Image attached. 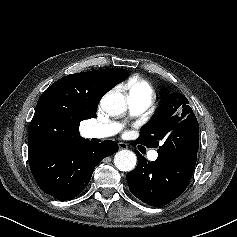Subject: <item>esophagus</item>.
<instances>
[{
	"label": "esophagus",
	"mask_w": 237,
	"mask_h": 237,
	"mask_svg": "<svg viewBox=\"0 0 237 237\" xmlns=\"http://www.w3.org/2000/svg\"><path fill=\"white\" fill-rule=\"evenodd\" d=\"M118 147H119L120 150H123V149H127V148H128L127 144L124 143V142H119V143H118Z\"/></svg>",
	"instance_id": "1"
}]
</instances>
